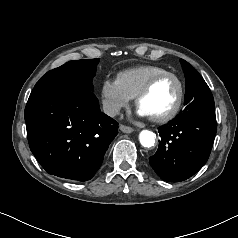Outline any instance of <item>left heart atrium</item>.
Instances as JSON below:
<instances>
[{"mask_svg":"<svg viewBox=\"0 0 238 238\" xmlns=\"http://www.w3.org/2000/svg\"><path fill=\"white\" fill-rule=\"evenodd\" d=\"M137 115L139 117H145V116H148L143 110H141L140 108L138 109L137 111Z\"/></svg>","mask_w":238,"mask_h":238,"instance_id":"39dd6f15","label":"left heart atrium"}]
</instances>
